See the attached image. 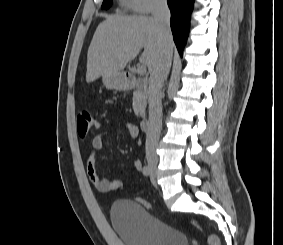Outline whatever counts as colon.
I'll return each mask as SVG.
<instances>
[{
  "label": "colon",
  "mask_w": 283,
  "mask_h": 245,
  "mask_svg": "<svg viewBox=\"0 0 283 245\" xmlns=\"http://www.w3.org/2000/svg\"><path fill=\"white\" fill-rule=\"evenodd\" d=\"M98 127L97 121L92 117L88 111H82L77 116V131L80 138L85 139L91 130ZM121 180L118 178L112 179L110 183V190L116 191L121 187ZM140 203L146 208H150L151 205L145 200H140ZM209 245H220L219 239L216 235L210 234L207 237Z\"/></svg>",
  "instance_id": "5ec220e1"
}]
</instances>
